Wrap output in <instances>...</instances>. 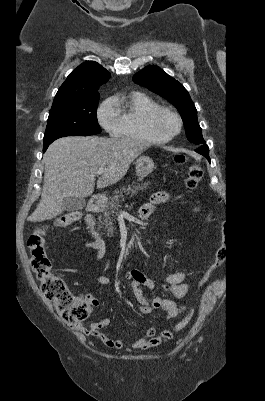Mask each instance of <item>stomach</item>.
<instances>
[{"label":"stomach","mask_w":265,"mask_h":401,"mask_svg":"<svg viewBox=\"0 0 265 401\" xmlns=\"http://www.w3.org/2000/svg\"><path fill=\"white\" fill-rule=\"evenodd\" d=\"M136 176L142 180L144 176L150 174L154 168V160L150 156H139L135 162Z\"/></svg>","instance_id":"1"}]
</instances>
